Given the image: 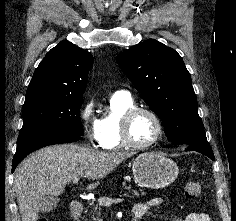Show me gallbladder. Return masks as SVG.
Returning <instances> with one entry per match:
<instances>
[{
  "label": "gallbladder",
  "instance_id": "1",
  "mask_svg": "<svg viewBox=\"0 0 236 221\" xmlns=\"http://www.w3.org/2000/svg\"><path fill=\"white\" fill-rule=\"evenodd\" d=\"M59 199L54 196H44L40 200V212L47 213L52 211L58 204Z\"/></svg>",
  "mask_w": 236,
  "mask_h": 221
}]
</instances>
